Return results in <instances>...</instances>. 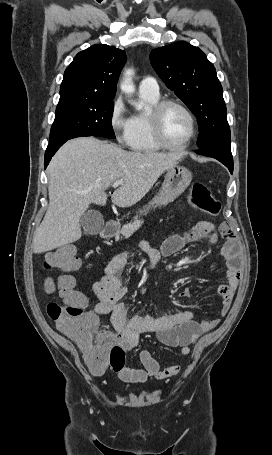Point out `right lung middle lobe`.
<instances>
[{
	"mask_svg": "<svg viewBox=\"0 0 272 455\" xmlns=\"http://www.w3.org/2000/svg\"><path fill=\"white\" fill-rule=\"evenodd\" d=\"M114 102L112 100H78L59 102L50 131L54 144L81 136L115 138L111 124Z\"/></svg>",
	"mask_w": 272,
	"mask_h": 455,
	"instance_id": "right-lung-middle-lobe-1",
	"label": "right lung middle lobe"
}]
</instances>
